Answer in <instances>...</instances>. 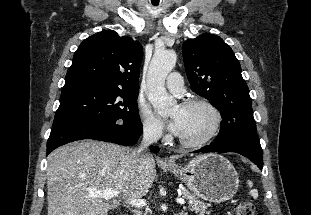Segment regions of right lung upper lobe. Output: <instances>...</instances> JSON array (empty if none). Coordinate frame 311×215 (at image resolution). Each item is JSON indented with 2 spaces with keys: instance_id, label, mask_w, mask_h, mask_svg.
<instances>
[{
  "instance_id": "1",
  "label": "right lung upper lobe",
  "mask_w": 311,
  "mask_h": 215,
  "mask_svg": "<svg viewBox=\"0 0 311 215\" xmlns=\"http://www.w3.org/2000/svg\"><path fill=\"white\" fill-rule=\"evenodd\" d=\"M143 49L130 37H119L113 30L85 39L66 74L65 86L96 84L136 91Z\"/></svg>"
}]
</instances>
